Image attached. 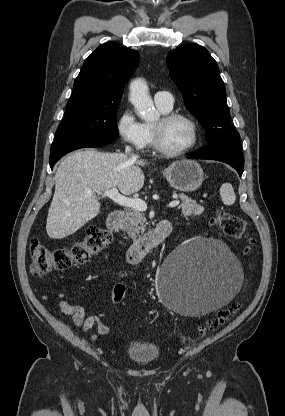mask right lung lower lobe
Masks as SVG:
<instances>
[{"mask_svg":"<svg viewBox=\"0 0 285 416\" xmlns=\"http://www.w3.org/2000/svg\"><path fill=\"white\" fill-rule=\"evenodd\" d=\"M115 137L70 136L55 138L50 151V167L67 153L80 148L99 147L113 142Z\"/></svg>","mask_w":285,"mask_h":416,"instance_id":"obj_1","label":"right lung lower lobe"}]
</instances>
